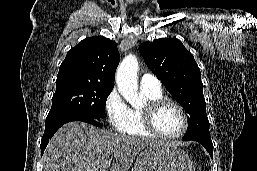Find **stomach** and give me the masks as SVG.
<instances>
[{
	"instance_id": "obj_1",
	"label": "stomach",
	"mask_w": 257,
	"mask_h": 171,
	"mask_svg": "<svg viewBox=\"0 0 257 171\" xmlns=\"http://www.w3.org/2000/svg\"><path fill=\"white\" fill-rule=\"evenodd\" d=\"M134 171H195V167L178 146L162 142L148 146L138 154Z\"/></svg>"
}]
</instances>
